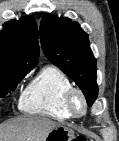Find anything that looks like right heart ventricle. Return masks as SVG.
I'll return each instance as SVG.
<instances>
[{"instance_id": "obj_1", "label": "right heart ventricle", "mask_w": 119, "mask_h": 141, "mask_svg": "<svg viewBox=\"0 0 119 141\" xmlns=\"http://www.w3.org/2000/svg\"><path fill=\"white\" fill-rule=\"evenodd\" d=\"M73 87L69 77L59 68L48 65L32 80L21 99V107L31 114L56 120H68L64 105L65 93Z\"/></svg>"}]
</instances>
